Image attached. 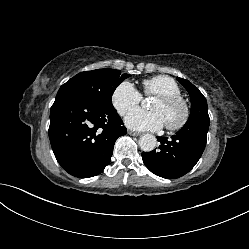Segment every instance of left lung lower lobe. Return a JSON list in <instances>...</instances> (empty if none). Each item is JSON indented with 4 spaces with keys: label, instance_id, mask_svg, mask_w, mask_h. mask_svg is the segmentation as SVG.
Wrapping results in <instances>:
<instances>
[{
    "label": "left lung lower lobe",
    "instance_id": "1",
    "mask_svg": "<svg viewBox=\"0 0 249 249\" xmlns=\"http://www.w3.org/2000/svg\"><path fill=\"white\" fill-rule=\"evenodd\" d=\"M209 124V118H200L186 122L171 139L157 137L159 148L142 153L145 166L166 179L185 175L196 165L205 149Z\"/></svg>",
    "mask_w": 249,
    "mask_h": 249
}]
</instances>
